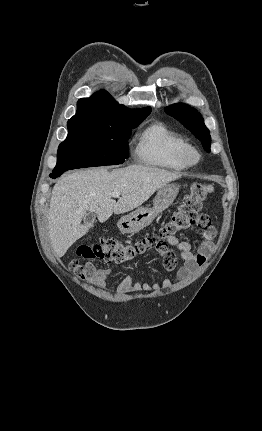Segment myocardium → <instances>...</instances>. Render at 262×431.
<instances>
[{"label":"myocardium","mask_w":262,"mask_h":431,"mask_svg":"<svg viewBox=\"0 0 262 431\" xmlns=\"http://www.w3.org/2000/svg\"><path fill=\"white\" fill-rule=\"evenodd\" d=\"M181 157L187 167H194L198 165L201 159L200 153L192 146L184 149Z\"/></svg>","instance_id":"1"}]
</instances>
